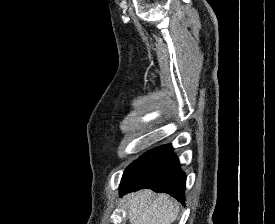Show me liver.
<instances>
[{"mask_svg":"<svg viewBox=\"0 0 275 224\" xmlns=\"http://www.w3.org/2000/svg\"><path fill=\"white\" fill-rule=\"evenodd\" d=\"M121 203L127 209L130 224H172L178 217V202L150 189L127 194Z\"/></svg>","mask_w":275,"mask_h":224,"instance_id":"liver-1","label":"liver"}]
</instances>
